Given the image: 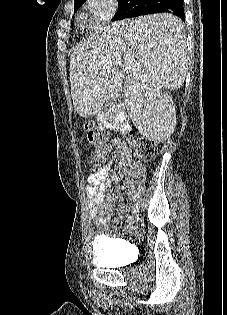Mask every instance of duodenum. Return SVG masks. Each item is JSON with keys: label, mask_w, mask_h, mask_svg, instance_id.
<instances>
[{"label": "duodenum", "mask_w": 227, "mask_h": 315, "mask_svg": "<svg viewBox=\"0 0 227 315\" xmlns=\"http://www.w3.org/2000/svg\"><path fill=\"white\" fill-rule=\"evenodd\" d=\"M104 120L108 127L119 128L122 131L127 128V115L120 107L115 106L110 112L106 113Z\"/></svg>", "instance_id": "1"}]
</instances>
